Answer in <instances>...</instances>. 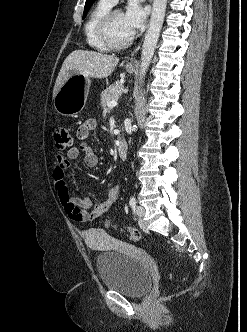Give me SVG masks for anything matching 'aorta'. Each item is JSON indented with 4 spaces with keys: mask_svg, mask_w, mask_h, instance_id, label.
<instances>
[{
    "mask_svg": "<svg viewBox=\"0 0 247 332\" xmlns=\"http://www.w3.org/2000/svg\"><path fill=\"white\" fill-rule=\"evenodd\" d=\"M167 0H154L149 28L146 32L141 55L139 80L143 82L157 45L166 11Z\"/></svg>",
    "mask_w": 247,
    "mask_h": 332,
    "instance_id": "762f6f07",
    "label": "aorta"
}]
</instances>
